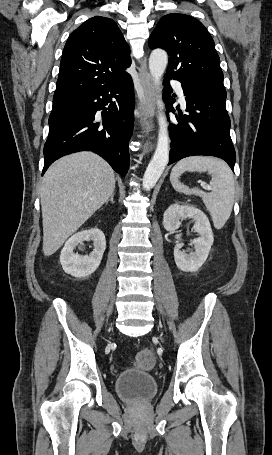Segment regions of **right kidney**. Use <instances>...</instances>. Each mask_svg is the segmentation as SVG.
Returning a JSON list of instances; mask_svg holds the SVG:
<instances>
[{
	"instance_id": "obj_1",
	"label": "right kidney",
	"mask_w": 272,
	"mask_h": 455,
	"mask_svg": "<svg viewBox=\"0 0 272 455\" xmlns=\"http://www.w3.org/2000/svg\"><path fill=\"white\" fill-rule=\"evenodd\" d=\"M90 240L93 241L94 250L89 255L82 256L74 253L76 246ZM105 249L106 240L101 230L98 228L83 230L67 240L60 254V263L67 274L82 278L96 271Z\"/></svg>"
}]
</instances>
